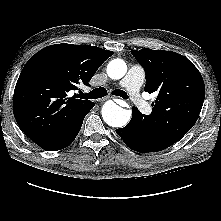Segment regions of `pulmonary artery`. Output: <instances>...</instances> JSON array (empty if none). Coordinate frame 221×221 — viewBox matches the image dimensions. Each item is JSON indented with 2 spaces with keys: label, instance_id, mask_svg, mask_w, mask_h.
<instances>
[{
  "label": "pulmonary artery",
  "instance_id": "pulmonary-artery-1",
  "mask_svg": "<svg viewBox=\"0 0 221 221\" xmlns=\"http://www.w3.org/2000/svg\"><path fill=\"white\" fill-rule=\"evenodd\" d=\"M145 80V72L139 65H133L128 70L124 79L120 82V86L124 87L141 112L149 114L151 112V105L142 98L140 88Z\"/></svg>",
  "mask_w": 221,
  "mask_h": 221
}]
</instances>
